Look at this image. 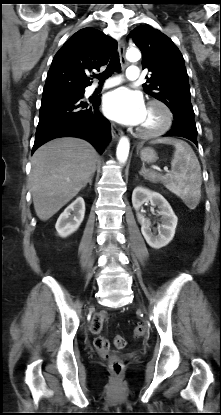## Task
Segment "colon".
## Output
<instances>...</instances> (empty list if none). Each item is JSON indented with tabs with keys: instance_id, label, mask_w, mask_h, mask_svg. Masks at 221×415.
I'll return each mask as SVG.
<instances>
[{
	"instance_id": "colon-1",
	"label": "colon",
	"mask_w": 221,
	"mask_h": 415,
	"mask_svg": "<svg viewBox=\"0 0 221 415\" xmlns=\"http://www.w3.org/2000/svg\"><path fill=\"white\" fill-rule=\"evenodd\" d=\"M106 317V312H99L95 314L90 323L91 332L99 334L102 331L103 322L106 319ZM146 332L147 328L144 324H138L134 329V335L138 338L144 337L146 335ZM114 344L117 348L122 349L126 346V340L124 337L117 335L114 338ZM94 345L95 348L100 352H106L110 346L109 341L103 336H98L94 340ZM109 368L115 377H119L122 374L124 365L118 357H111L109 360Z\"/></svg>"
}]
</instances>
